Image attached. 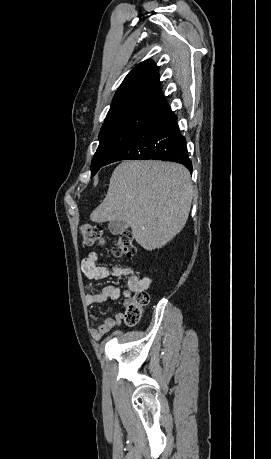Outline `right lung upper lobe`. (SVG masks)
<instances>
[{"mask_svg": "<svg viewBox=\"0 0 271 459\" xmlns=\"http://www.w3.org/2000/svg\"><path fill=\"white\" fill-rule=\"evenodd\" d=\"M168 108L169 105L160 89L157 67L153 61L146 60L126 76L114 96L107 115L132 110L159 114Z\"/></svg>", "mask_w": 271, "mask_h": 459, "instance_id": "1", "label": "right lung upper lobe"}]
</instances>
